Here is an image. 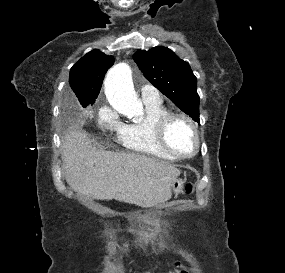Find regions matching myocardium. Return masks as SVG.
Segmentation results:
<instances>
[{
  "label": "myocardium",
  "instance_id": "myocardium-1",
  "mask_svg": "<svg viewBox=\"0 0 285 273\" xmlns=\"http://www.w3.org/2000/svg\"><path fill=\"white\" fill-rule=\"evenodd\" d=\"M175 119H182L184 120L189 127L191 128V131L194 135L195 138V146L192 152L190 153H182L179 152L177 150H175L174 148H172V146L169 144L168 140H167V130L169 125L171 124V122ZM156 134H157V138L158 141L160 142V144L171 154H173L176 157L179 158H190L195 156L199 149H200V133L198 130V126L195 123V121L188 116L185 113H181V112H168L167 114H165L164 116H162L156 125Z\"/></svg>",
  "mask_w": 285,
  "mask_h": 273
}]
</instances>
